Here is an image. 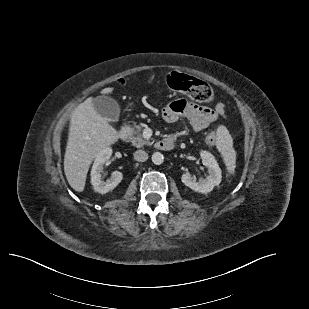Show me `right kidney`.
<instances>
[{"label":"right kidney","instance_id":"obj_1","mask_svg":"<svg viewBox=\"0 0 309 309\" xmlns=\"http://www.w3.org/2000/svg\"><path fill=\"white\" fill-rule=\"evenodd\" d=\"M112 149L107 147L102 150L95 158L91 169V184L94 190L98 193L105 194L113 190L122 180L123 175L119 171H114L109 179L102 180L101 172L104 164L110 159Z\"/></svg>","mask_w":309,"mask_h":309}]
</instances>
